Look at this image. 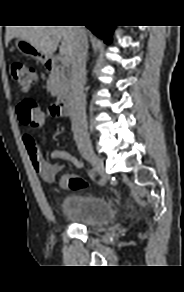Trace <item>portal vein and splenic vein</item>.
<instances>
[{"mask_svg":"<svg viewBox=\"0 0 184 292\" xmlns=\"http://www.w3.org/2000/svg\"><path fill=\"white\" fill-rule=\"evenodd\" d=\"M68 61H69L68 57L62 54V57H61V63H62V65L63 66L67 65L68 64Z\"/></svg>","mask_w":184,"mask_h":292,"instance_id":"1","label":"portal vein and splenic vein"}]
</instances>
